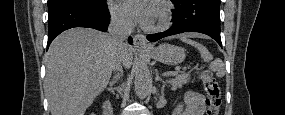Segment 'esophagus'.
<instances>
[{"instance_id": "34e87169", "label": "esophagus", "mask_w": 285, "mask_h": 115, "mask_svg": "<svg viewBox=\"0 0 285 115\" xmlns=\"http://www.w3.org/2000/svg\"><path fill=\"white\" fill-rule=\"evenodd\" d=\"M133 43L134 47L138 49H146L149 47L146 41V37L143 34H136L134 36Z\"/></svg>"}]
</instances>
